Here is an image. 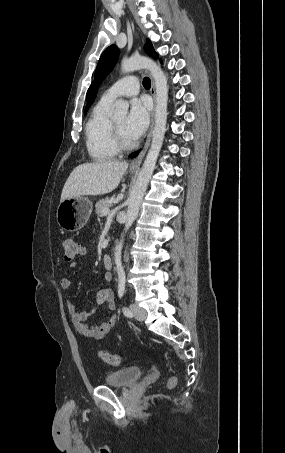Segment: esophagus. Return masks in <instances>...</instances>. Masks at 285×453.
<instances>
[{
	"label": "esophagus",
	"mask_w": 285,
	"mask_h": 453,
	"mask_svg": "<svg viewBox=\"0 0 285 453\" xmlns=\"http://www.w3.org/2000/svg\"><path fill=\"white\" fill-rule=\"evenodd\" d=\"M150 93L153 97V101H154V108H153V112H152V116H151V127H150V131H149V134L147 136V140L145 142V145L144 147L142 148V150L140 151L139 155L130 163V168L131 169H138L142 163V160L144 158V155L149 147V144H150V139H151V134H152V130H153V127H154V111H155V106H156V94H155V84H154V80L153 78H151V89H150Z\"/></svg>",
	"instance_id": "34e87169"
}]
</instances>
